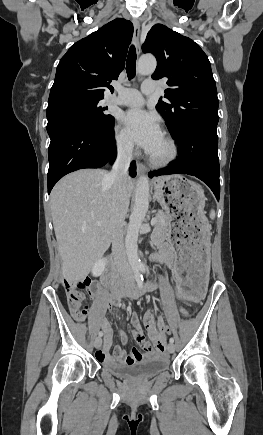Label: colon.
Masks as SVG:
<instances>
[{
	"label": "colon",
	"mask_w": 263,
	"mask_h": 435,
	"mask_svg": "<svg viewBox=\"0 0 263 435\" xmlns=\"http://www.w3.org/2000/svg\"><path fill=\"white\" fill-rule=\"evenodd\" d=\"M89 286L90 282L87 279L67 280L64 282L67 303L71 314L76 320L82 321L86 316L84 291H89ZM171 325L167 324L165 327L167 335H172Z\"/></svg>",
	"instance_id": "obj_1"
}]
</instances>
